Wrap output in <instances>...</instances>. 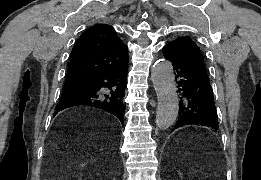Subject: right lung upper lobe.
<instances>
[{"instance_id":"cb5924a9","label":"right lung upper lobe","mask_w":261,"mask_h":180,"mask_svg":"<svg viewBox=\"0 0 261 180\" xmlns=\"http://www.w3.org/2000/svg\"><path fill=\"white\" fill-rule=\"evenodd\" d=\"M127 50L113 27L89 28L72 49L65 82H88L96 73L127 65Z\"/></svg>"}]
</instances>
